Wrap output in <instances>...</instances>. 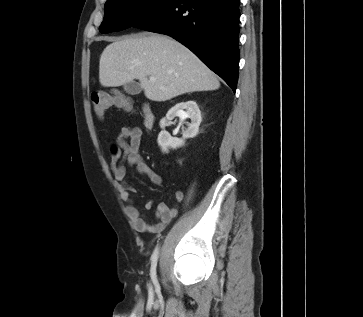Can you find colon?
Here are the masks:
<instances>
[{
	"instance_id": "1",
	"label": "colon",
	"mask_w": 363,
	"mask_h": 317,
	"mask_svg": "<svg viewBox=\"0 0 363 317\" xmlns=\"http://www.w3.org/2000/svg\"><path fill=\"white\" fill-rule=\"evenodd\" d=\"M112 106H116L124 110H130L132 108L130 100L118 93L96 91L91 94V107L99 117H103L106 111ZM112 149L113 154H117L118 146L116 144L112 146Z\"/></svg>"
}]
</instances>
